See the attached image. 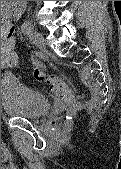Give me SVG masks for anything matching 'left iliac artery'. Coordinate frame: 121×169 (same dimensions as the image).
<instances>
[{"label": "left iliac artery", "mask_w": 121, "mask_h": 169, "mask_svg": "<svg viewBox=\"0 0 121 169\" xmlns=\"http://www.w3.org/2000/svg\"><path fill=\"white\" fill-rule=\"evenodd\" d=\"M32 30H33V25L31 22L26 21L22 24V32L24 34L27 35L31 34ZM33 64H38V59H33Z\"/></svg>", "instance_id": "left-iliac-artery-1"}]
</instances>
